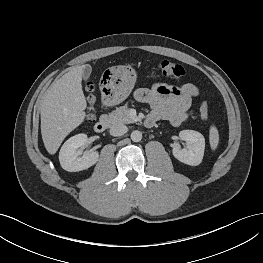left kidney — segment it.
Here are the masks:
<instances>
[{"label": "left kidney", "mask_w": 263, "mask_h": 263, "mask_svg": "<svg viewBox=\"0 0 263 263\" xmlns=\"http://www.w3.org/2000/svg\"><path fill=\"white\" fill-rule=\"evenodd\" d=\"M179 137L186 142V148L174 147L172 149L173 156L187 165H199L202 162L205 150L204 136L194 130H182Z\"/></svg>", "instance_id": "left-kidney-1"}]
</instances>
